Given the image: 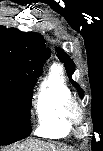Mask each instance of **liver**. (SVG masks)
<instances>
[{
	"label": "liver",
	"mask_w": 103,
	"mask_h": 151,
	"mask_svg": "<svg viewBox=\"0 0 103 151\" xmlns=\"http://www.w3.org/2000/svg\"><path fill=\"white\" fill-rule=\"evenodd\" d=\"M8 151H68L66 148L56 146L38 139H28L24 143L9 148Z\"/></svg>",
	"instance_id": "obj_1"
}]
</instances>
